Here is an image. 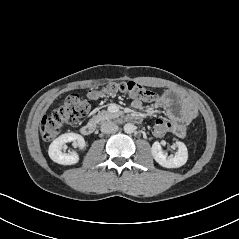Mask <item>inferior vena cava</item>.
<instances>
[{"label": "inferior vena cava", "mask_w": 239, "mask_h": 239, "mask_svg": "<svg viewBox=\"0 0 239 239\" xmlns=\"http://www.w3.org/2000/svg\"><path fill=\"white\" fill-rule=\"evenodd\" d=\"M118 130V126L112 121H106L101 125V132L103 133H114Z\"/></svg>", "instance_id": "obj_1"}]
</instances>
